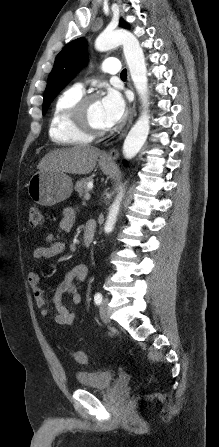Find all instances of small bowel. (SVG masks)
<instances>
[{"instance_id": "c3829d8e", "label": "small bowel", "mask_w": 219, "mask_h": 447, "mask_svg": "<svg viewBox=\"0 0 219 447\" xmlns=\"http://www.w3.org/2000/svg\"><path fill=\"white\" fill-rule=\"evenodd\" d=\"M76 220V213L73 209H66L63 212L62 219L59 223V228L68 232L72 229ZM48 245L38 247L34 250L33 256L38 260H47L60 255L64 249L65 244L59 240H52L47 236ZM88 273L87 266L84 264H77L72 267L59 282L53 303L55 309L52 310L46 297V293L40 286V277L36 271H32L27 276V282L34 295L35 302L40 308L42 317H50L55 313V321L59 325H70L74 321V313L63 304L62 299L68 296L73 304L81 302V294L76 286L77 282L86 279Z\"/></svg>"}]
</instances>
